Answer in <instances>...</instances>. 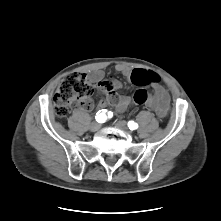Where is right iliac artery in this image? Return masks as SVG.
<instances>
[{
    "instance_id": "1",
    "label": "right iliac artery",
    "mask_w": 221,
    "mask_h": 221,
    "mask_svg": "<svg viewBox=\"0 0 221 221\" xmlns=\"http://www.w3.org/2000/svg\"><path fill=\"white\" fill-rule=\"evenodd\" d=\"M105 112L106 110H100L97 112L96 117H95L97 122L103 123L106 121L107 117H106Z\"/></svg>"
}]
</instances>
